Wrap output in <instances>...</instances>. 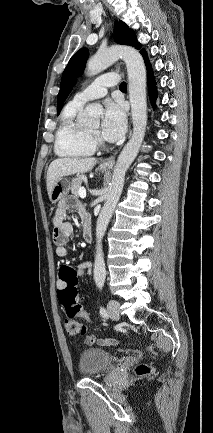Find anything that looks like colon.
Returning a JSON list of instances; mask_svg holds the SVG:
<instances>
[{"label":"colon","instance_id":"obj_1","mask_svg":"<svg viewBox=\"0 0 213 433\" xmlns=\"http://www.w3.org/2000/svg\"><path fill=\"white\" fill-rule=\"evenodd\" d=\"M59 277L64 284V286L58 290V298L65 308L67 315L64 320L65 331L70 337L84 335L86 327L79 319L87 320L88 318V321H90L92 317L78 302L76 288L78 283L77 271L71 266H63L60 269ZM136 371L140 375H145L150 373V367L146 364H140Z\"/></svg>","mask_w":213,"mask_h":433}]
</instances>
